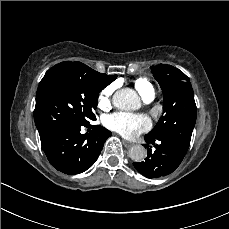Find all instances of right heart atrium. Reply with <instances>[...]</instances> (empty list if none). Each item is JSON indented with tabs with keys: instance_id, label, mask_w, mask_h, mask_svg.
Listing matches in <instances>:
<instances>
[{
	"instance_id": "right-heart-atrium-1",
	"label": "right heart atrium",
	"mask_w": 229,
	"mask_h": 229,
	"mask_svg": "<svg viewBox=\"0 0 229 229\" xmlns=\"http://www.w3.org/2000/svg\"><path fill=\"white\" fill-rule=\"evenodd\" d=\"M114 94V86L108 85L103 88L97 98V105L100 109L105 110L111 106L112 97Z\"/></svg>"
}]
</instances>
